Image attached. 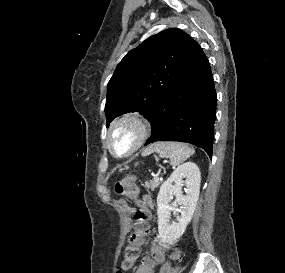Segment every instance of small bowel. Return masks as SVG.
Masks as SVG:
<instances>
[{"label":"small bowel","mask_w":285,"mask_h":273,"mask_svg":"<svg viewBox=\"0 0 285 273\" xmlns=\"http://www.w3.org/2000/svg\"><path fill=\"white\" fill-rule=\"evenodd\" d=\"M140 199H142V201H145L149 205L148 211H151L153 209L154 200L151 196L144 195ZM175 256L176 253H172V257ZM165 257V248L158 242L151 243L150 256H145L141 259L139 265L135 269V273H154L155 266L157 264H161L165 260Z\"/></svg>","instance_id":"c3829d8e"}]
</instances>
